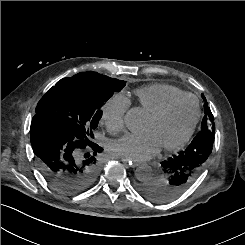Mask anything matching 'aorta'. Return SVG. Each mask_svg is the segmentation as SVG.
Listing matches in <instances>:
<instances>
[{
  "mask_svg": "<svg viewBox=\"0 0 245 245\" xmlns=\"http://www.w3.org/2000/svg\"><path fill=\"white\" fill-rule=\"evenodd\" d=\"M125 125L132 131H138L143 125V116L138 108L130 109L125 118ZM136 177L139 181H147L153 178V170L149 165H141L136 170Z\"/></svg>",
  "mask_w": 245,
  "mask_h": 245,
  "instance_id": "762f6f07",
  "label": "aorta"
}]
</instances>
